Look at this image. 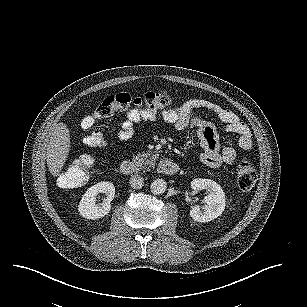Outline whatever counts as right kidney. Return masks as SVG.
<instances>
[{
    "label": "right kidney",
    "instance_id": "obj_1",
    "mask_svg": "<svg viewBox=\"0 0 307 307\" xmlns=\"http://www.w3.org/2000/svg\"><path fill=\"white\" fill-rule=\"evenodd\" d=\"M102 197L101 203H96V199ZM115 196V187L110 182L97 183L85 192L79 202L78 210L80 215L88 219H97L105 216L111 207V201Z\"/></svg>",
    "mask_w": 307,
    "mask_h": 307
}]
</instances>
